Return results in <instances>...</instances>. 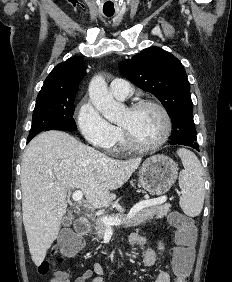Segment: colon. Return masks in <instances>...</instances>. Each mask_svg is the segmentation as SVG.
<instances>
[{"label": "colon", "mask_w": 232, "mask_h": 282, "mask_svg": "<svg viewBox=\"0 0 232 282\" xmlns=\"http://www.w3.org/2000/svg\"><path fill=\"white\" fill-rule=\"evenodd\" d=\"M170 222L175 227L176 246L173 251L172 269L176 277L175 282H187L193 261V247L196 242V228L191 218L181 214L173 213ZM59 261L76 255L82 247L81 239L70 230H64L59 238ZM51 269L48 260L38 265V273L47 275Z\"/></svg>", "instance_id": "1"}]
</instances>
